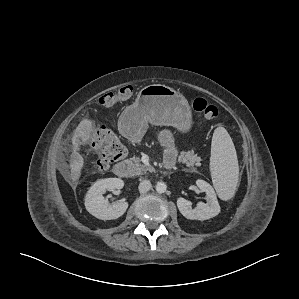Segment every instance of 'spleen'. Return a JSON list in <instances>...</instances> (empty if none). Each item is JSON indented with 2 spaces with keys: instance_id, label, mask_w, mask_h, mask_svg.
I'll return each instance as SVG.
<instances>
[{
  "instance_id": "1",
  "label": "spleen",
  "mask_w": 299,
  "mask_h": 299,
  "mask_svg": "<svg viewBox=\"0 0 299 299\" xmlns=\"http://www.w3.org/2000/svg\"><path fill=\"white\" fill-rule=\"evenodd\" d=\"M210 168L213 185L223 200L233 197L239 177L233 141L224 127H217L211 143Z\"/></svg>"
}]
</instances>
